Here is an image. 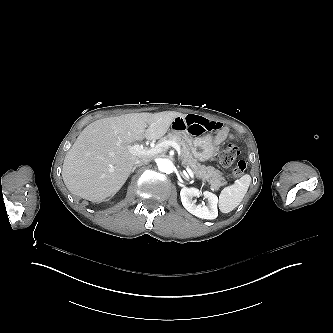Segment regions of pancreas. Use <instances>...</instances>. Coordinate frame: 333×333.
<instances>
[{
    "label": "pancreas",
    "mask_w": 333,
    "mask_h": 333,
    "mask_svg": "<svg viewBox=\"0 0 333 333\" xmlns=\"http://www.w3.org/2000/svg\"><path fill=\"white\" fill-rule=\"evenodd\" d=\"M164 141H175L181 146V161L184 167H190L196 178L208 182L210 188L219 190L221 186L227 184L222 172L213 166H205L200 164L191 153V140L186 139L179 132H170L166 136L159 139L158 144Z\"/></svg>",
    "instance_id": "obj_1"
}]
</instances>
